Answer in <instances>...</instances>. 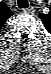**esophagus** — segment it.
Listing matches in <instances>:
<instances>
[{"label": "esophagus", "instance_id": "obj_1", "mask_svg": "<svg viewBox=\"0 0 51 74\" xmlns=\"http://www.w3.org/2000/svg\"><path fill=\"white\" fill-rule=\"evenodd\" d=\"M30 10H31V9L26 8V9H23V12H24V13H28Z\"/></svg>", "mask_w": 51, "mask_h": 74}]
</instances>
